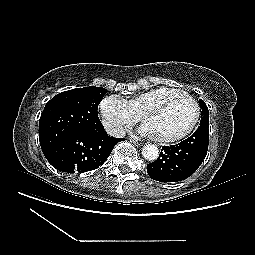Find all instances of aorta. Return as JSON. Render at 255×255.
Returning a JSON list of instances; mask_svg holds the SVG:
<instances>
[{
    "mask_svg": "<svg viewBox=\"0 0 255 255\" xmlns=\"http://www.w3.org/2000/svg\"><path fill=\"white\" fill-rule=\"evenodd\" d=\"M142 156L148 161H154L159 156V149L153 144H146L142 148Z\"/></svg>",
    "mask_w": 255,
    "mask_h": 255,
    "instance_id": "762f6f07",
    "label": "aorta"
}]
</instances>
